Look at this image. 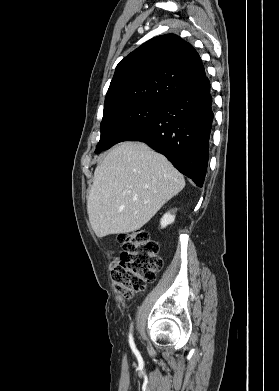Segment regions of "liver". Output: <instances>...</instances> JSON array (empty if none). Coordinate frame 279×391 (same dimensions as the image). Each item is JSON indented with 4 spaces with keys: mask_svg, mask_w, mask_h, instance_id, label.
<instances>
[{
    "mask_svg": "<svg viewBox=\"0 0 279 391\" xmlns=\"http://www.w3.org/2000/svg\"><path fill=\"white\" fill-rule=\"evenodd\" d=\"M185 186L182 174L141 142H123L96 167L87 199L89 221L98 237L143 227Z\"/></svg>",
    "mask_w": 279,
    "mask_h": 391,
    "instance_id": "6515ba94",
    "label": "liver"
}]
</instances>
